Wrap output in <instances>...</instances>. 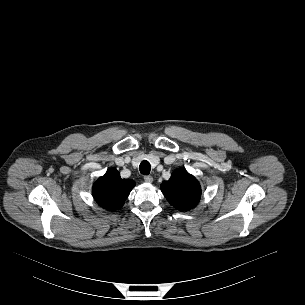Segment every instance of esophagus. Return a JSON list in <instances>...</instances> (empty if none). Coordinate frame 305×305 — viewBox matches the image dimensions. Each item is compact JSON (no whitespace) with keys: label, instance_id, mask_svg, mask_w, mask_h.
I'll return each instance as SVG.
<instances>
[{"label":"esophagus","instance_id":"obj_1","mask_svg":"<svg viewBox=\"0 0 305 305\" xmlns=\"http://www.w3.org/2000/svg\"><path fill=\"white\" fill-rule=\"evenodd\" d=\"M144 181L147 183H152L153 182V177L150 175L144 176Z\"/></svg>","mask_w":305,"mask_h":305}]
</instances>
